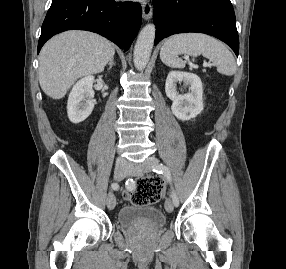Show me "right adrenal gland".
Returning <instances> with one entry per match:
<instances>
[{"label":"right adrenal gland","instance_id":"right-adrenal-gland-1","mask_svg":"<svg viewBox=\"0 0 286 269\" xmlns=\"http://www.w3.org/2000/svg\"><path fill=\"white\" fill-rule=\"evenodd\" d=\"M108 65H109L108 70H110V69L112 68V66L115 65L114 60H113V59L110 60L109 63H108Z\"/></svg>","mask_w":286,"mask_h":269}]
</instances>
